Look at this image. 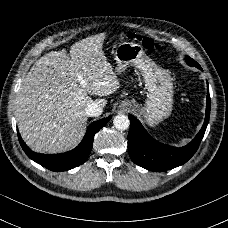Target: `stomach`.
Instances as JSON below:
<instances>
[{"mask_svg": "<svg viewBox=\"0 0 228 228\" xmlns=\"http://www.w3.org/2000/svg\"><path fill=\"white\" fill-rule=\"evenodd\" d=\"M114 57L117 62L116 71L118 73L130 65L141 72L145 87L149 91L146 109L143 111L147 122L154 125L162 118L167 117L173 104L171 76L166 71L155 67L144 48L136 42L119 43L115 49ZM120 104L132 105L126 100ZM132 109L136 111L137 107L133 106Z\"/></svg>", "mask_w": 228, "mask_h": 228, "instance_id": "stomach-1", "label": "stomach"}]
</instances>
